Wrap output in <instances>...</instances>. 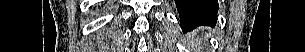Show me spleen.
Listing matches in <instances>:
<instances>
[{
	"label": "spleen",
	"instance_id": "3e777b00",
	"mask_svg": "<svg viewBox=\"0 0 305 52\" xmlns=\"http://www.w3.org/2000/svg\"><path fill=\"white\" fill-rule=\"evenodd\" d=\"M191 44H192V47H194V49L196 48L197 50H199V52H200V49L204 50V48L206 46L205 39L197 37V36L192 37Z\"/></svg>",
	"mask_w": 305,
	"mask_h": 52
}]
</instances>
